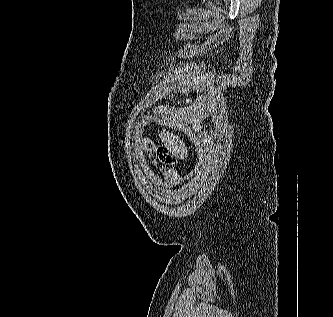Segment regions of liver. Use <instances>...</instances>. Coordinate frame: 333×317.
<instances>
[{"mask_svg": "<svg viewBox=\"0 0 333 317\" xmlns=\"http://www.w3.org/2000/svg\"><path fill=\"white\" fill-rule=\"evenodd\" d=\"M159 137L164 143V146L169 150L172 155L179 159H186L188 156V150L179 136L170 133L169 131L162 130L159 132Z\"/></svg>", "mask_w": 333, "mask_h": 317, "instance_id": "liver-1", "label": "liver"}]
</instances>
